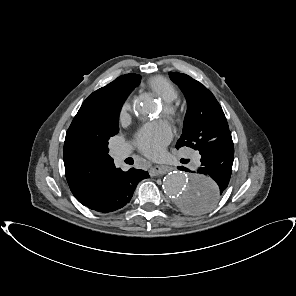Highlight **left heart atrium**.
Returning a JSON list of instances; mask_svg holds the SVG:
<instances>
[{"label":"left heart atrium","mask_w":296,"mask_h":296,"mask_svg":"<svg viewBox=\"0 0 296 296\" xmlns=\"http://www.w3.org/2000/svg\"><path fill=\"white\" fill-rule=\"evenodd\" d=\"M172 130L165 121H156L140 127L134 136L137 148L146 156L155 157L171 141Z\"/></svg>","instance_id":"1"}]
</instances>
